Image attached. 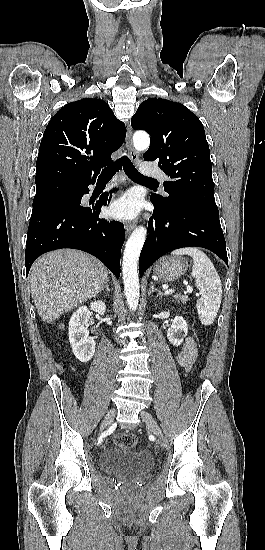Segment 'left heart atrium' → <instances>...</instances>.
Returning <instances> with one entry per match:
<instances>
[{"label": "left heart atrium", "instance_id": "obj_1", "mask_svg": "<svg viewBox=\"0 0 265 550\" xmlns=\"http://www.w3.org/2000/svg\"><path fill=\"white\" fill-rule=\"evenodd\" d=\"M140 211V199L133 193H127L114 201L109 207V214L122 220L135 218Z\"/></svg>", "mask_w": 265, "mask_h": 550}]
</instances>
